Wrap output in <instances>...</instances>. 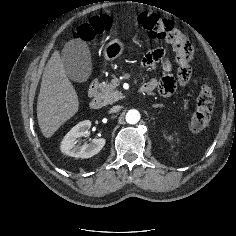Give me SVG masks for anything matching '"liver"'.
Segmentation results:
<instances>
[{
    "label": "liver",
    "instance_id": "6515ba94",
    "mask_svg": "<svg viewBox=\"0 0 236 236\" xmlns=\"http://www.w3.org/2000/svg\"><path fill=\"white\" fill-rule=\"evenodd\" d=\"M78 109L77 93L56 50L44 68L37 100V119L43 136L50 138Z\"/></svg>",
    "mask_w": 236,
    "mask_h": 236
}]
</instances>
